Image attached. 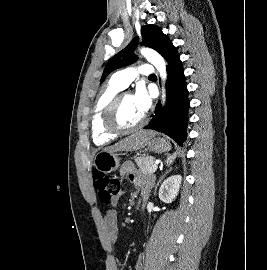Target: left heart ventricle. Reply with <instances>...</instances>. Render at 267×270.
Here are the masks:
<instances>
[{"mask_svg":"<svg viewBox=\"0 0 267 270\" xmlns=\"http://www.w3.org/2000/svg\"><path fill=\"white\" fill-rule=\"evenodd\" d=\"M142 117L143 114L140 113L135 106L132 96H125L121 102L118 112L119 123L124 127H131L137 124Z\"/></svg>","mask_w":267,"mask_h":270,"instance_id":"b2bd125f","label":"left heart ventricle"}]
</instances>
